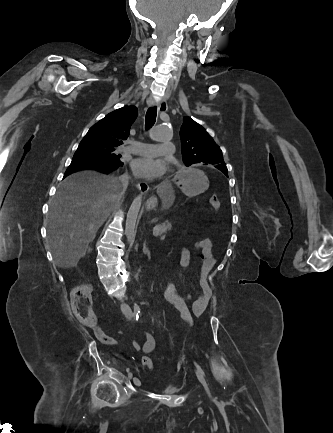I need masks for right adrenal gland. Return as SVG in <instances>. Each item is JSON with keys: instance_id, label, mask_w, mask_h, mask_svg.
Here are the masks:
<instances>
[{"instance_id": "obj_1", "label": "right adrenal gland", "mask_w": 333, "mask_h": 433, "mask_svg": "<svg viewBox=\"0 0 333 433\" xmlns=\"http://www.w3.org/2000/svg\"><path fill=\"white\" fill-rule=\"evenodd\" d=\"M90 250H91V248L89 247V248H88V251H90Z\"/></svg>"}]
</instances>
